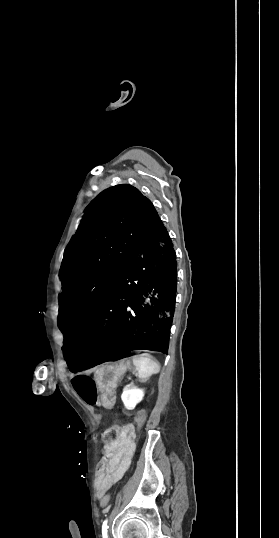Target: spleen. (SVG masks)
<instances>
[{
  "instance_id": "obj_1",
  "label": "spleen",
  "mask_w": 279,
  "mask_h": 538,
  "mask_svg": "<svg viewBox=\"0 0 279 538\" xmlns=\"http://www.w3.org/2000/svg\"><path fill=\"white\" fill-rule=\"evenodd\" d=\"M132 362L136 366L140 378H148L152 374H158L160 366L158 362L151 360L149 354H140V356H133Z\"/></svg>"
}]
</instances>
